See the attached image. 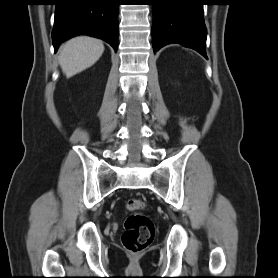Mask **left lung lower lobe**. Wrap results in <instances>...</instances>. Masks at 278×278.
I'll list each match as a JSON object with an SVG mask.
<instances>
[{
	"label": "left lung lower lobe",
	"mask_w": 278,
	"mask_h": 278,
	"mask_svg": "<svg viewBox=\"0 0 278 278\" xmlns=\"http://www.w3.org/2000/svg\"><path fill=\"white\" fill-rule=\"evenodd\" d=\"M152 5L154 52L167 44L178 43L207 59L204 0H152Z\"/></svg>",
	"instance_id": "obj_1"
}]
</instances>
